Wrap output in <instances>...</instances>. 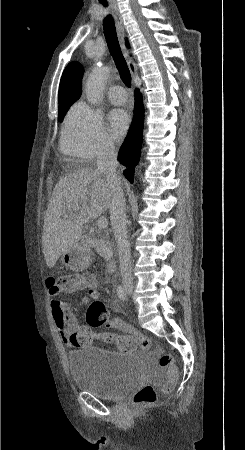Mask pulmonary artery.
I'll return each instance as SVG.
<instances>
[{"mask_svg":"<svg viewBox=\"0 0 245 450\" xmlns=\"http://www.w3.org/2000/svg\"><path fill=\"white\" fill-rule=\"evenodd\" d=\"M109 100L117 105H122L126 102L127 97L124 89L120 85H113L108 92Z\"/></svg>","mask_w":245,"mask_h":450,"instance_id":"1","label":"pulmonary artery"}]
</instances>
